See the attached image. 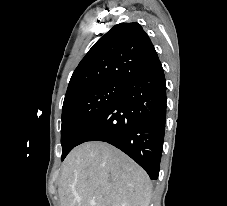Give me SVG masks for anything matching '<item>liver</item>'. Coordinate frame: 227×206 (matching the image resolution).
I'll list each match as a JSON object with an SVG mask.
<instances>
[{
	"label": "liver",
	"mask_w": 227,
	"mask_h": 206,
	"mask_svg": "<svg viewBox=\"0 0 227 206\" xmlns=\"http://www.w3.org/2000/svg\"><path fill=\"white\" fill-rule=\"evenodd\" d=\"M60 206H149L147 173L112 145L83 143L66 157L59 181Z\"/></svg>",
	"instance_id": "1"
}]
</instances>
